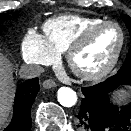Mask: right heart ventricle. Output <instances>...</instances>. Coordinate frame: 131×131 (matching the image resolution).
Instances as JSON below:
<instances>
[{"mask_svg": "<svg viewBox=\"0 0 131 131\" xmlns=\"http://www.w3.org/2000/svg\"><path fill=\"white\" fill-rule=\"evenodd\" d=\"M102 21L77 14L53 17L43 24L44 38L56 53H64L84 30Z\"/></svg>", "mask_w": 131, "mask_h": 131, "instance_id": "e07e8e85", "label": "right heart ventricle"}]
</instances>
